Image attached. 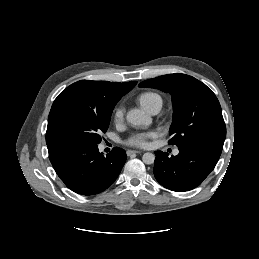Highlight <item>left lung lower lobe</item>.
I'll return each instance as SVG.
<instances>
[{
  "mask_svg": "<svg viewBox=\"0 0 259 259\" xmlns=\"http://www.w3.org/2000/svg\"><path fill=\"white\" fill-rule=\"evenodd\" d=\"M224 142L197 140L184 144L177 156L156 151L154 175L165 188L183 192L200 185L217 164Z\"/></svg>",
  "mask_w": 259,
  "mask_h": 259,
  "instance_id": "obj_1",
  "label": "left lung lower lobe"
}]
</instances>
